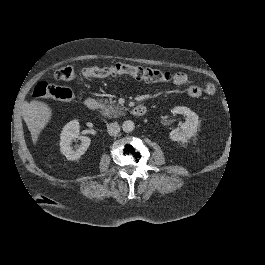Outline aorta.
<instances>
[{
    "label": "aorta",
    "mask_w": 265,
    "mask_h": 265,
    "mask_svg": "<svg viewBox=\"0 0 265 265\" xmlns=\"http://www.w3.org/2000/svg\"><path fill=\"white\" fill-rule=\"evenodd\" d=\"M122 130L125 133H131L134 130V123L131 120L124 121L122 124Z\"/></svg>",
    "instance_id": "762f6f07"
}]
</instances>
